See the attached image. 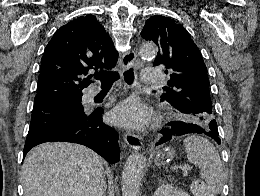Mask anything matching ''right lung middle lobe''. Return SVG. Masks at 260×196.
I'll list each match as a JSON object with an SVG mask.
<instances>
[{
  "label": "right lung middle lobe",
  "mask_w": 260,
  "mask_h": 196,
  "mask_svg": "<svg viewBox=\"0 0 260 196\" xmlns=\"http://www.w3.org/2000/svg\"><path fill=\"white\" fill-rule=\"evenodd\" d=\"M81 97L34 106L28 134L86 119L89 113L84 112Z\"/></svg>",
  "instance_id": "obj_1"
}]
</instances>
